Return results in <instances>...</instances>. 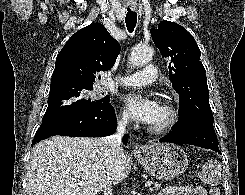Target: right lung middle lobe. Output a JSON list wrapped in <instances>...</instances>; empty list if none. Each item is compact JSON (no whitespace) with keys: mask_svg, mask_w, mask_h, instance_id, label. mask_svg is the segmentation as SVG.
Wrapping results in <instances>:
<instances>
[{"mask_svg":"<svg viewBox=\"0 0 245 195\" xmlns=\"http://www.w3.org/2000/svg\"><path fill=\"white\" fill-rule=\"evenodd\" d=\"M92 89L93 86L71 87L50 93L42 122L65 113L90 109L100 102H110L109 96L91 99L89 91Z\"/></svg>","mask_w":245,"mask_h":195,"instance_id":"obj_1","label":"right lung middle lobe"}]
</instances>
